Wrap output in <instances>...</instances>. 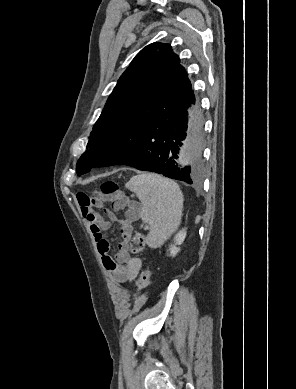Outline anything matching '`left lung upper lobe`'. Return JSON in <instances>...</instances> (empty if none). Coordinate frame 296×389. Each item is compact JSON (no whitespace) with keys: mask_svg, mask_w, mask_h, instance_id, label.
Instances as JSON below:
<instances>
[{"mask_svg":"<svg viewBox=\"0 0 296 389\" xmlns=\"http://www.w3.org/2000/svg\"><path fill=\"white\" fill-rule=\"evenodd\" d=\"M179 57L169 44L152 43L143 48L122 74L105 108L93 127L86 150L76 166L80 176L99 167L95 149L104 135L128 113L151 97L154 91L174 75L184 74Z\"/></svg>","mask_w":296,"mask_h":389,"instance_id":"left-lung-upper-lobe-1","label":"left lung upper lobe"}]
</instances>
